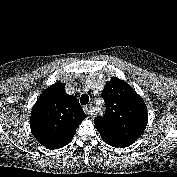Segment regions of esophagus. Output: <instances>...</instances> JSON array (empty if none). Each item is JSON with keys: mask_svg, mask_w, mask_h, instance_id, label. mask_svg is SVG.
<instances>
[{"mask_svg": "<svg viewBox=\"0 0 177 177\" xmlns=\"http://www.w3.org/2000/svg\"><path fill=\"white\" fill-rule=\"evenodd\" d=\"M83 109H84V112H85L86 114L93 115L91 106H89V105L84 106Z\"/></svg>", "mask_w": 177, "mask_h": 177, "instance_id": "esophagus-1", "label": "esophagus"}]
</instances>
